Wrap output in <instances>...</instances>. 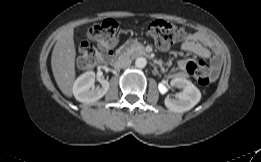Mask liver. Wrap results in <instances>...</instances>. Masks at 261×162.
I'll list each match as a JSON object with an SVG mask.
<instances>
[{
  "label": "liver",
  "instance_id": "1",
  "mask_svg": "<svg viewBox=\"0 0 261 162\" xmlns=\"http://www.w3.org/2000/svg\"><path fill=\"white\" fill-rule=\"evenodd\" d=\"M73 36V27L59 32L51 56V68L55 81L61 92L67 97L72 96V85L76 77V49Z\"/></svg>",
  "mask_w": 261,
  "mask_h": 162
}]
</instances>
